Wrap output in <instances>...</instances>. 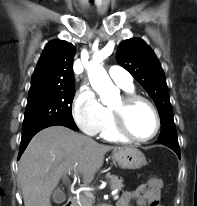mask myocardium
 Instances as JSON below:
<instances>
[{"mask_svg": "<svg viewBox=\"0 0 197 206\" xmlns=\"http://www.w3.org/2000/svg\"><path fill=\"white\" fill-rule=\"evenodd\" d=\"M137 103H144L146 104L152 111L154 117H155V129L153 131V133L145 138H140V137H136L135 135H133L131 133V131L128 128L127 125V120H126V115H127V111L135 104ZM110 112H111V116H112V120H113V124L114 127L117 131V133L125 139L134 141V142H148L152 139H154L156 137V135L158 134L160 127H161V118L159 115V112L156 108V106L147 98L135 94V93H127L124 94L121 97V104L119 107L117 108H110Z\"/></svg>", "mask_w": 197, "mask_h": 206, "instance_id": "f54148a6", "label": "myocardium"}]
</instances>
